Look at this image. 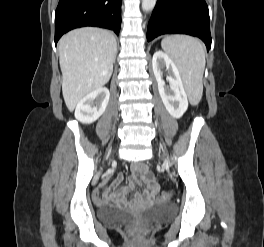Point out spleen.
Returning a JSON list of instances; mask_svg holds the SVG:
<instances>
[{
	"instance_id": "3e777b00",
	"label": "spleen",
	"mask_w": 264,
	"mask_h": 247,
	"mask_svg": "<svg viewBox=\"0 0 264 247\" xmlns=\"http://www.w3.org/2000/svg\"><path fill=\"white\" fill-rule=\"evenodd\" d=\"M161 46L178 67L191 102L198 104L203 93L206 64L202 44L190 36L172 35L165 37Z\"/></svg>"
}]
</instances>
